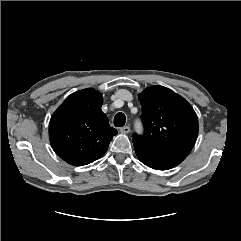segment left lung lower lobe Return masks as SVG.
Listing matches in <instances>:
<instances>
[{
    "instance_id": "obj_1",
    "label": "left lung lower lobe",
    "mask_w": 241,
    "mask_h": 241,
    "mask_svg": "<svg viewBox=\"0 0 241 241\" xmlns=\"http://www.w3.org/2000/svg\"><path fill=\"white\" fill-rule=\"evenodd\" d=\"M134 148L139 160L146 166L156 170L171 169L187 157V155L183 153L150 150L135 143Z\"/></svg>"
}]
</instances>
